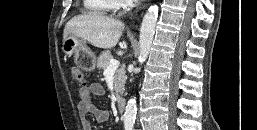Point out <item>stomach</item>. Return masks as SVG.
I'll return each instance as SVG.
<instances>
[{"label": "stomach", "mask_w": 257, "mask_h": 130, "mask_svg": "<svg viewBox=\"0 0 257 130\" xmlns=\"http://www.w3.org/2000/svg\"><path fill=\"white\" fill-rule=\"evenodd\" d=\"M62 51L66 56H74L78 63L85 70H93L96 66V56L86 45V41L74 34L68 35L62 44Z\"/></svg>", "instance_id": "stomach-1"}]
</instances>
